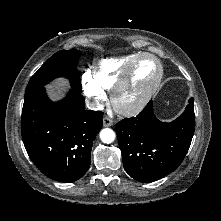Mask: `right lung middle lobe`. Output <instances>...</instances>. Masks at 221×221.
Returning <instances> with one entry per match:
<instances>
[{"label": "right lung middle lobe", "mask_w": 221, "mask_h": 221, "mask_svg": "<svg viewBox=\"0 0 221 221\" xmlns=\"http://www.w3.org/2000/svg\"><path fill=\"white\" fill-rule=\"evenodd\" d=\"M80 55L81 51L76 49L61 50L55 53L32 76L27 85L25 97L44 88L57 77L68 78L72 88L81 92L80 79L76 69Z\"/></svg>", "instance_id": "dd1d6c3e"}]
</instances>
